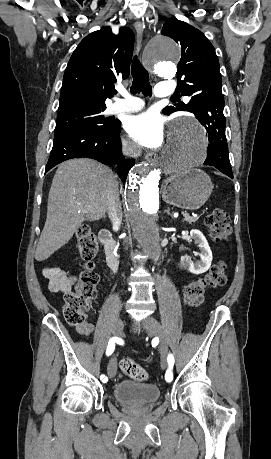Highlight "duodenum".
<instances>
[{"label":"duodenum","mask_w":271,"mask_h":459,"mask_svg":"<svg viewBox=\"0 0 271 459\" xmlns=\"http://www.w3.org/2000/svg\"><path fill=\"white\" fill-rule=\"evenodd\" d=\"M99 240L104 247L107 265L112 271H116L118 269V258L115 253L111 232L106 228L101 229L99 232Z\"/></svg>","instance_id":"410a0bca"}]
</instances>
